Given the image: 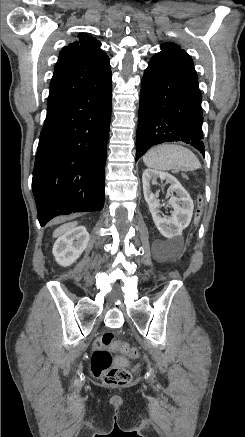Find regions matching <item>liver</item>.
Here are the masks:
<instances>
[{
    "mask_svg": "<svg viewBox=\"0 0 245 437\" xmlns=\"http://www.w3.org/2000/svg\"><path fill=\"white\" fill-rule=\"evenodd\" d=\"M76 225L77 223L74 222V223H68V224H64L63 226H60L54 231L53 237H59L60 235L74 228Z\"/></svg>",
    "mask_w": 245,
    "mask_h": 437,
    "instance_id": "obj_1",
    "label": "liver"
}]
</instances>
